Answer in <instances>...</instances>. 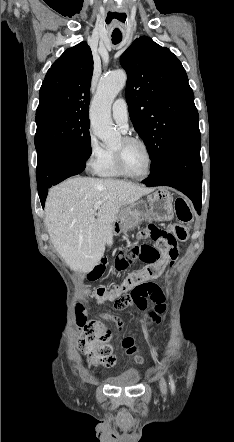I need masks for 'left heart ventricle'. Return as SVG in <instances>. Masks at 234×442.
<instances>
[{"mask_svg":"<svg viewBox=\"0 0 234 442\" xmlns=\"http://www.w3.org/2000/svg\"><path fill=\"white\" fill-rule=\"evenodd\" d=\"M114 149H120L126 169L132 174H143L147 169V155L144 148L136 143L125 144L121 139Z\"/></svg>","mask_w":234,"mask_h":442,"instance_id":"b2bd125f","label":"left heart ventricle"}]
</instances>
